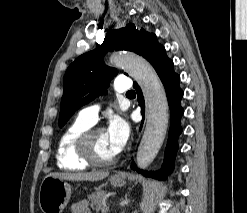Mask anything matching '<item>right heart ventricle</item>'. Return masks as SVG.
Instances as JSON below:
<instances>
[{
	"label": "right heart ventricle",
	"instance_id": "right-heart-ventricle-1",
	"mask_svg": "<svg viewBox=\"0 0 247 213\" xmlns=\"http://www.w3.org/2000/svg\"><path fill=\"white\" fill-rule=\"evenodd\" d=\"M92 125L78 117L64 129L59 137L56 150V162L60 169L83 171L88 168V165L77 157L75 143L78 136Z\"/></svg>",
	"mask_w": 247,
	"mask_h": 213
}]
</instances>
